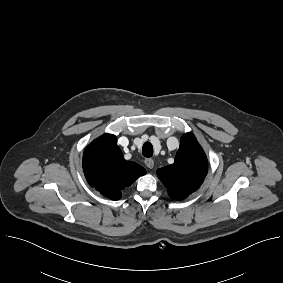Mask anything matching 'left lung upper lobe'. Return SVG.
<instances>
[{"label": "left lung upper lobe", "instance_id": "obj_1", "mask_svg": "<svg viewBox=\"0 0 283 283\" xmlns=\"http://www.w3.org/2000/svg\"><path fill=\"white\" fill-rule=\"evenodd\" d=\"M206 155L196 138L186 133L180 142L175 162L157 170L168 194L175 200H182L196 191L207 174Z\"/></svg>", "mask_w": 283, "mask_h": 283}]
</instances>
